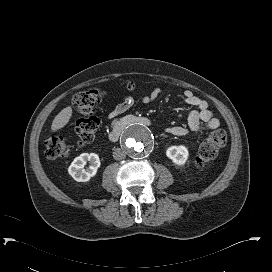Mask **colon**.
Listing matches in <instances>:
<instances>
[{
  "label": "colon",
  "mask_w": 272,
  "mask_h": 272,
  "mask_svg": "<svg viewBox=\"0 0 272 272\" xmlns=\"http://www.w3.org/2000/svg\"><path fill=\"white\" fill-rule=\"evenodd\" d=\"M126 90L132 91L135 85L126 83ZM103 92L98 88H90L74 96V109L78 115L75 121L74 133L77 137L76 145L82 147L90 143L99 126L96 108L102 102ZM227 142L224 130L212 132L200 145L196 165L200 168L207 166L223 149ZM46 155L49 158L66 157L70 154L71 145L62 135H49L45 140Z\"/></svg>",
  "instance_id": "obj_1"
}]
</instances>
